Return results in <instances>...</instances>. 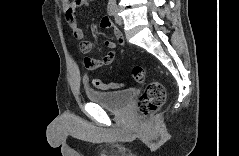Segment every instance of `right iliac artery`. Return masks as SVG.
I'll use <instances>...</instances> for the list:
<instances>
[{
	"mask_svg": "<svg viewBox=\"0 0 239 156\" xmlns=\"http://www.w3.org/2000/svg\"><path fill=\"white\" fill-rule=\"evenodd\" d=\"M116 10V4L114 2H110L107 6V11L110 16H113Z\"/></svg>",
	"mask_w": 239,
	"mask_h": 156,
	"instance_id": "1",
	"label": "right iliac artery"
}]
</instances>
